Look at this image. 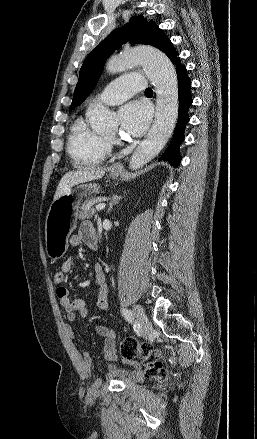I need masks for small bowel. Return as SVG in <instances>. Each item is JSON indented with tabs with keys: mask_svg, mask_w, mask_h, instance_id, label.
<instances>
[{
	"mask_svg": "<svg viewBox=\"0 0 257 439\" xmlns=\"http://www.w3.org/2000/svg\"><path fill=\"white\" fill-rule=\"evenodd\" d=\"M70 244L72 246H78L85 243L90 248L95 249L98 245V235L89 222H83L78 231L70 237ZM73 263L71 260H66L62 263L60 271L63 274H68L72 271ZM95 283L98 286V295L96 301V307L98 310H106L108 306L107 287L105 283V275L100 265L94 267ZM57 297L59 298L60 305L66 312L67 320L70 322L75 321L77 315L80 317H86L88 315V309L84 300L76 298L71 299L69 291L66 287L61 286L56 290ZM68 335L71 338L75 337V332L71 327L67 329ZM96 332L104 338V348L102 350V356L107 361H115L118 359V350L116 346V333L105 326L99 325L96 327ZM129 370H118L113 366L107 367L108 376L112 379H118L124 383H136L143 379V372L140 365L137 362L129 361ZM81 365L83 372L89 374L92 370V359L87 352L82 353Z\"/></svg>",
	"mask_w": 257,
	"mask_h": 439,
	"instance_id": "c3829d8e",
	"label": "small bowel"
}]
</instances>
